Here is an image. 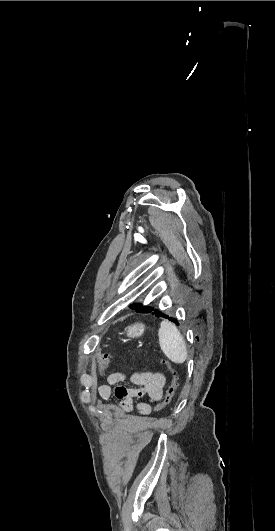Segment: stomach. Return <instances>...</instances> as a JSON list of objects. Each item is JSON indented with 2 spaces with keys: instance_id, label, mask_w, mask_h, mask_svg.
<instances>
[{
  "instance_id": "stomach-1",
  "label": "stomach",
  "mask_w": 275,
  "mask_h": 531,
  "mask_svg": "<svg viewBox=\"0 0 275 531\" xmlns=\"http://www.w3.org/2000/svg\"><path fill=\"white\" fill-rule=\"evenodd\" d=\"M144 331L145 325H143V323H134V325L126 327L125 333L127 337H132V339H135V337H142Z\"/></svg>"
}]
</instances>
